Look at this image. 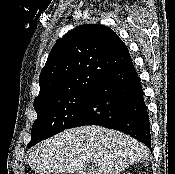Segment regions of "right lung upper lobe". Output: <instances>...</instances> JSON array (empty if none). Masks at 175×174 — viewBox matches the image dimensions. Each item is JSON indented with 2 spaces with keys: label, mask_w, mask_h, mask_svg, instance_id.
Instances as JSON below:
<instances>
[{
  "label": "right lung upper lobe",
  "mask_w": 175,
  "mask_h": 174,
  "mask_svg": "<svg viewBox=\"0 0 175 174\" xmlns=\"http://www.w3.org/2000/svg\"><path fill=\"white\" fill-rule=\"evenodd\" d=\"M131 61L124 42L110 28L81 25L60 39L39 77L34 103L87 85H96L111 71Z\"/></svg>",
  "instance_id": "1"
}]
</instances>
